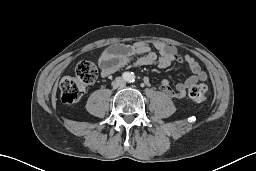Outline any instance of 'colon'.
I'll return each mask as SVG.
<instances>
[{
    "instance_id": "colon-1",
    "label": "colon",
    "mask_w": 256,
    "mask_h": 171,
    "mask_svg": "<svg viewBox=\"0 0 256 171\" xmlns=\"http://www.w3.org/2000/svg\"><path fill=\"white\" fill-rule=\"evenodd\" d=\"M97 77L96 67L88 62H79L73 74L67 75L60 80L59 89L61 100L64 104L73 105L82 97L87 85L93 83ZM211 91L204 83L196 84L189 90V97L195 103H205L210 97Z\"/></svg>"
}]
</instances>
